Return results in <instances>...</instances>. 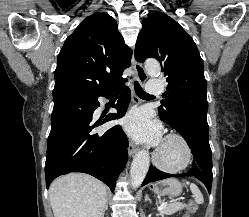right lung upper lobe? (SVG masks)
<instances>
[{
	"instance_id": "right-lung-upper-lobe-1",
	"label": "right lung upper lobe",
	"mask_w": 249,
	"mask_h": 217,
	"mask_svg": "<svg viewBox=\"0 0 249 217\" xmlns=\"http://www.w3.org/2000/svg\"><path fill=\"white\" fill-rule=\"evenodd\" d=\"M131 50L109 14L86 17L66 39L58 55L53 92H98L123 81L130 66Z\"/></svg>"
}]
</instances>
